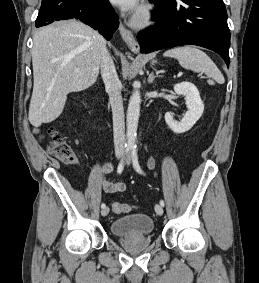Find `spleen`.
<instances>
[{
	"mask_svg": "<svg viewBox=\"0 0 259 283\" xmlns=\"http://www.w3.org/2000/svg\"><path fill=\"white\" fill-rule=\"evenodd\" d=\"M163 55L165 57L177 59L179 64L185 69H190L194 72L205 73L208 77L212 78L219 84H224L225 82L222 73L210 59V57L194 46H184L170 49L165 51Z\"/></svg>",
	"mask_w": 259,
	"mask_h": 283,
	"instance_id": "spleen-1",
	"label": "spleen"
}]
</instances>
